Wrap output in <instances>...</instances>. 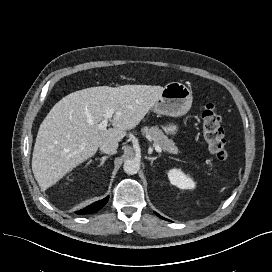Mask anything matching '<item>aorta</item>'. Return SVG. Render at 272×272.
<instances>
[{
  "instance_id": "obj_1",
  "label": "aorta",
  "mask_w": 272,
  "mask_h": 272,
  "mask_svg": "<svg viewBox=\"0 0 272 272\" xmlns=\"http://www.w3.org/2000/svg\"><path fill=\"white\" fill-rule=\"evenodd\" d=\"M123 169L125 173L134 175L138 173L140 169V162L137 159H128L124 162Z\"/></svg>"
}]
</instances>
